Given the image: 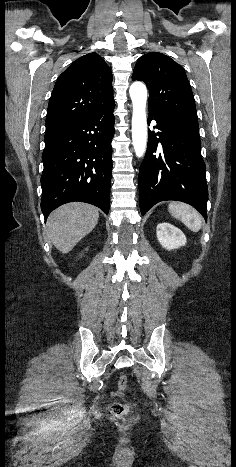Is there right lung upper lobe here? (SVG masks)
Instances as JSON below:
<instances>
[{"label":"right lung upper lobe","mask_w":236,"mask_h":467,"mask_svg":"<svg viewBox=\"0 0 236 467\" xmlns=\"http://www.w3.org/2000/svg\"><path fill=\"white\" fill-rule=\"evenodd\" d=\"M113 104L109 66L96 53L84 55L56 81L47 110L46 132L82 121Z\"/></svg>","instance_id":"cb5924a9"}]
</instances>
